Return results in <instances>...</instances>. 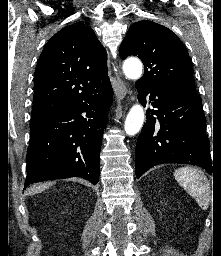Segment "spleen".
Listing matches in <instances>:
<instances>
[{
    "label": "spleen",
    "mask_w": 221,
    "mask_h": 256,
    "mask_svg": "<svg viewBox=\"0 0 221 256\" xmlns=\"http://www.w3.org/2000/svg\"><path fill=\"white\" fill-rule=\"evenodd\" d=\"M175 179L206 210L210 202V184L202 172L193 167H182L175 171Z\"/></svg>",
    "instance_id": "obj_1"
}]
</instances>
